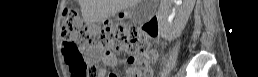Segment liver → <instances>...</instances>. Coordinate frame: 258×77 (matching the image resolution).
I'll use <instances>...</instances> for the list:
<instances>
[{"mask_svg":"<svg viewBox=\"0 0 258 77\" xmlns=\"http://www.w3.org/2000/svg\"><path fill=\"white\" fill-rule=\"evenodd\" d=\"M140 0H79L81 13L88 23L100 22L121 11L134 7ZM173 0H161L166 5Z\"/></svg>","mask_w":258,"mask_h":77,"instance_id":"1","label":"liver"}]
</instances>
